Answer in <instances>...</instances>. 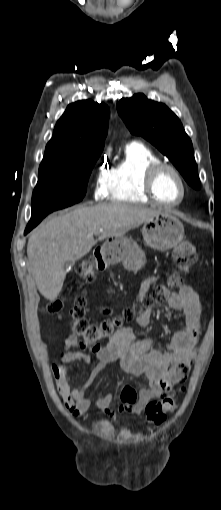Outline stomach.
<instances>
[{
	"label": "stomach",
	"mask_w": 221,
	"mask_h": 510,
	"mask_svg": "<svg viewBox=\"0 0 221 510\" xmlns=\"http://www.w3.org/2000/svg\"><path fill=\"white\" fill-rule=\"evenodd\" d=\"M143 239L151 248L167 251L177 246L184 237V226L170 213H160L143 225ZM105 253L111 262L121 261L128 271H138L146 263L144 251L128 237H113L104 244Z\"/></svg>",
	"instance_id": "1"
}]
</instances>
